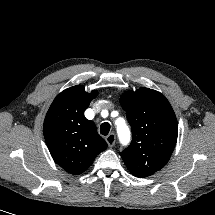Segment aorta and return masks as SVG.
<instances>
[{
	"instance_id": "1",
	"label": "aorta",
	"mask_w": 215,
	"mask_h": 215,
	"mask_svg": "<svg viewBox=\"0 0 215 215\" xmlns=\"http://www.w3.org/2000/svg\"><path fill=\"white\" fill-rule=\"evenodd\" d=\"M119 121L120 120H118L116 122L119 140L121 141V143L127 144L129 142L130 136H131L130 130H129L128 126L126 125V123L124 122V120H122L121 123Z\"/></svg>"
}]
</instances>
